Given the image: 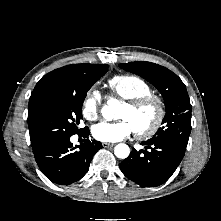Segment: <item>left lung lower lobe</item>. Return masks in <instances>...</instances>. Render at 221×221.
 I'll return each mask as SVG.
<instances>
[{
    "label": "left lung lower lobe",
    "mask_w": 221,
    "mask_h": 221,
    "mask_svg": "<svg viewBox=\"0 0 221 221\" xmlns=\"http://www.w3.org/2000/svg\"><path fill=\"white\" fill-rule=\"evenodd\" d=\"M146 150L133 148L120 163L123 174L142 187H156L167 181L180 164L185 148L167 141L148 140Z\"/></svg>",
    "instance_id": "0a47b994"
}]
</instances>
